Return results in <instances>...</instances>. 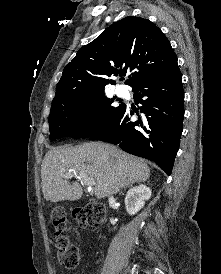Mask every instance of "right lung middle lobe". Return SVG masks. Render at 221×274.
I'll list each match as a JSON object with an SVG mask.
<instances>
[{"label":"right lung middle lobe","instance_id":"right-lung-middle-lobe-1","mask_svg":"<svg viewBox=\"0 0 221 274\" xmlns=\"http://www.w3.org/2000/svg\"><path fill=\"white\" fill-rule=\"evenodd\" d=\"M104 93L84 98H64L53 103L49 116L50 139L65 136L87 138L112 122L123 103L111 104Z\"/></svg>","mask_w":221,"mask_h":274}]
</instances>
